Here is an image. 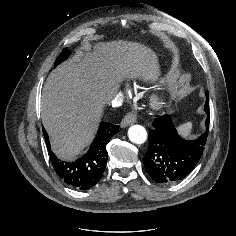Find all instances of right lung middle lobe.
Returning <instances> with one entry per match:
<instances>
[{
  "mask_svg": "<svg viewBox=\"0 0 236 236\" xmlns=\"http://www.w3.org/2000/svg\"><path fill=\"white\" fill-rule=\"evenodd\" d=\"M69 55V51L66 49H64L61 54L59 55V57L56 59L55 61V66H57L58 64H60L61 62H63Z\"/></svg>",
  "mask_w": 236,
  "mask_h": 236,
  "instance_id": "1",
  "label": "right lung middle lobe"
}]
</instances>
